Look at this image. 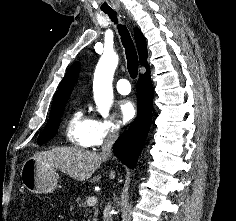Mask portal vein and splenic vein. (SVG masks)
<instances>
[{
  "mask_svg": "<svg viewBox=\"0 0 236 221\" xmlns=\"http://www.w3.org/2000/svg\"><path fill=\"white\" fill-rule=\"evenodd\" d=\"M87 205L89 206H95L97 203V198L95 196L88 197L86 200Z\"/></svg>",
  "mask_w": 236,
  "mask_h": 221,
  "instance_id": "obj_1",
  "label": "portal vein and splenic vein"
}]
</instances>
